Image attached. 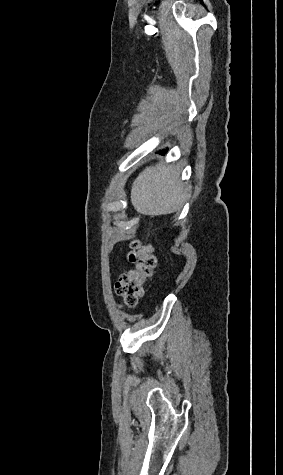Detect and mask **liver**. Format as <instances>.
<instances>
[{"label": "liver", "mask_w": 283, "mask_h": 475, "mask_svg": "<svg viewBox=\"0 0 283 475\" xmlns=\"http://www.w3.org/2000/svg\"><path fill=\"white\" fill-rule=\"evenodd\" d=\"M173 166H149L134 180L131 202L140 214L162 216L173 214L182 208L183 184Z\"/></svg>", "instance_id": "1"}]
</instances>
